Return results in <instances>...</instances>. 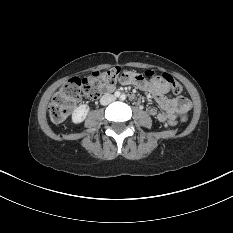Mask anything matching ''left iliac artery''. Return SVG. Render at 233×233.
Segmentation results:
<instances>
[{
	"instance_id": "obj_1",
	"label": "left iliac artery",
	"mask_w": 233,
	"mask_h": 233,
	"mask_svg": "<svg viewBox=\"0 0 233 233\" xmlns=\"http://www.w3.org/2000/svg\"><path fill=\"white\" fill-rule=\"evenodd\" d=\"M120 98H121V100H125L126 99V95L122 94Z\"/></svg>"
}]
</instances>
